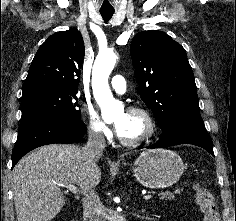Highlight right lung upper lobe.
Masks as SVG:
<instances>
[{
  "label": "right lung upper lobe",
  "mask_w": 236,
  "mask_h": 221,
  "mask_svg": "<svg viewBox=\"0 0 236 221\" xmlns=\"http://www.w3.org/2000/svg\"><path fill=\"white\" fill-rule=\"evenodd\" d=\"M84 54L83 38L77 29L49 36L32 61L22 94L37 90L78 92Z\"/></svg>",
  "instance_id": "right-lung-upper-lobe-1"
}]
</instances>
